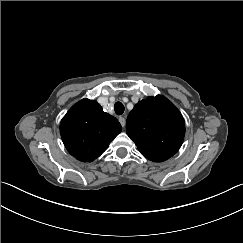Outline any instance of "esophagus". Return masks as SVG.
I'll return each instance as SVG.
<instances>
[{
	"label": "esophagus",
	"mask_w": 243,
	"mask_h": 243,
	"mask_svg": "<svg viewBox=\"0 0 243 243\" xmlns=\"http://www.w3.org/2000/svg\"><path fill=\"white\" fill-rule=\"evenodd\" d=\"M119 122H120V124H121V126L122 127H124L125 126V118L124 117H119Z\"/></svg>",
	"instance_id": "esophagus-1"
}]
</instances>
